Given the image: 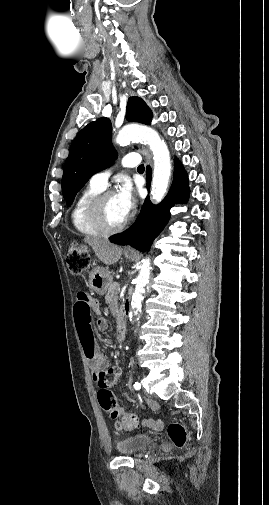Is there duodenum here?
I'll return each instance as SVG.
<instances>
[{"label":"duodenum","mask_w":269,"mask_h":505,"mask_svg":"<svg viewBox=\"0 0 269 505\" xmlns=\"http://www.w3.org/2000/svg\"><path fill=\"white\" fill-rule=\"evenodd\" d=\"M127 325L123 317H120L117 322L116 332L119 341H123L126 337Z\"/></svg>","instance_id":"410a0bca"}]
</instances>
